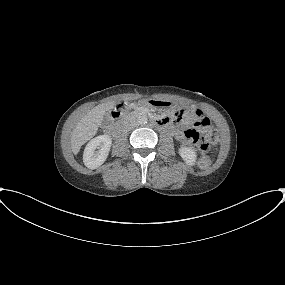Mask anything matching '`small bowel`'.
Returning a JSON list of instances; mask_svg holds the SVG:
<instances>
[{"instance_id": "small-bowel-1", "label": "small bowel", "mask_w": 285, "mask_h": 285, "mask_svg": "<svg viewBox=\"0 0 285 285\" xmlns=\"http://www.w3.org/2000/svg\"><path fill=\"white\" fill-rule=\"evenodd\" d=\"M195 112L198 115L201 114L200 110H196ZM175 138H176V140H178L180 142H184L185 141L184 133L182 131H179V130L175 132Z\"/></svg>"}]
</instances>
